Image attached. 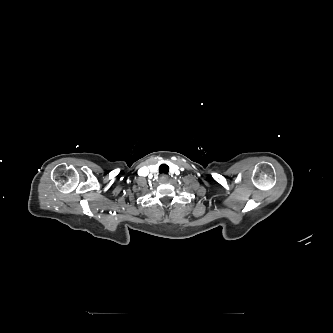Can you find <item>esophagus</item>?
Masks as SVG:
<instances>
[{
    "label": "esophagus",
    "mask_w": 333,
    "mask_h": 333,
    "mask_svg": "<svg viewBox=\"0 0 333 333\" xmlns=\"http://www.w3.org/2000/svg\"><path fill=\"white\" fill-rule=\"evenodd\" d=\"M168 181V176L163 174L160 176V182L165 183Z\"/></svg>",
    "instance_id": "esophagus-1"
}]
</instances>
